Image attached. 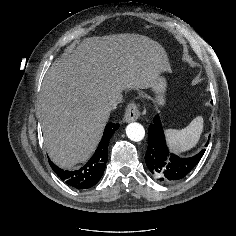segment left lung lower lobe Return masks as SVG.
Instances as JSON below:
<instances>
[{
	"label": "left lung lower lobe",
	"mask_w": 236,
	"mask_h": 236,
	"mask_svg": "<svg viewBox=\"0 0 236 236\" xmlns=\"http://www.w3.org/2000/svg\"><path fill=\"white\" fill-rule=\"evenodd\" d=\"M148 149L145 155L146 165L151 173L165 183L184 178L200 161L205 149L189 158H181L169 152L161 121L158 115L149 126ZM208 145V142L205 146Z\"/></svg>",
	"instance_id": "obj_1"
}]
</instances>
